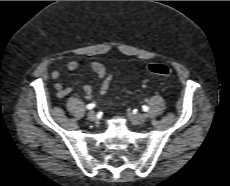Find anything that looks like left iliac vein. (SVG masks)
Here are the masks:
<instances>
[{
	"label": "left iliac vein",
	"mask_w": 230,
	"mask_h": 186,
	"mask_svg": "<svg viewBox=\"0 0 230 186\" xmlns=\"http://www.w3.org/2000/svg\"><path fill=\"white\" fill-rule=\"evenodd\" d=\"M130 117L135 124H143L146 121V114L143 113L130 114Z\"/></svg>",
	"instance_id": "obj_1"
}]
</instances>
